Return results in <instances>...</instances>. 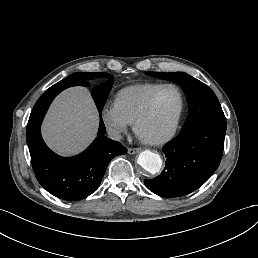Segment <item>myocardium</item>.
I'll list each match as a JSON object with an SVG mask.
<instances>
[{"mask_svg": "<svg viewBox=\"0 0 258 258\" xmlns=\"http://www.w3.org/2000/svg\"><path fill=\"white\" fill-rule=\"evenodd\" d=\"M165 88H171L173 90L176 91L177 95H178V101H179V107H178V112H177V116L174 122V125L172 127V129L165 135L161 136V137H157V138H151L148 136L143 135L140 132L139 126L141 121L148 115L149 110L151 108L152 102L154 97L156 96V94ZM182 111H183V98H182V94L180 93V91L178 90V88L172 84H163L158 86L147 98L144 107L142 108V110L140 111V113L138 114V116L136 117L135 121H134V132L137 135V137L144 141L145 143H149V144H163L165 142H168L169 140H171L177 129L179 126V122L181 119V115H182Z\"/></svg>", "mask_w": 258, "mask_h": 258, "instance_id": "f54148a6", "label": "myocardium"}]
</instances>
